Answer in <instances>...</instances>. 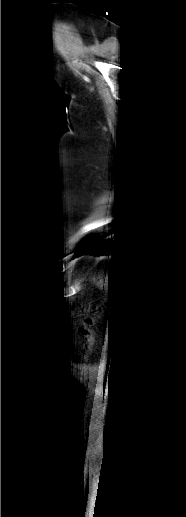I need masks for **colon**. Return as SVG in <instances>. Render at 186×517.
<instances>
[{"label":"colon","instance_id":"5ec220e1","mask_svg":"<svg viewBox=\"0 0 186 517\" xmlns=\"http://www.w3.org/2000/svg\"><path fill=\"white\" fill-rule=\"evenodd\" d=\"M96 318L94 316H87L84 319L83 326L81 328V331L86 339L85 344V351L86 354H89L92 350L93 343H94V324H95Z\"/></svg>","mask_w":186,"mask_h":517}]
</instances>
